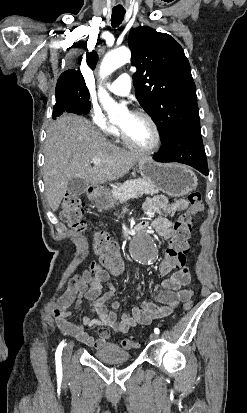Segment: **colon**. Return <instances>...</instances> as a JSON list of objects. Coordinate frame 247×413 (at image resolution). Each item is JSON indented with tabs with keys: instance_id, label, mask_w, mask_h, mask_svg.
<instances>
[{
	"instance_id": "5ec220e1",
	"label": "colon",
	"mask_w": 247,
	"mask_h": 413,
	"mask_svg": "<svg viewBox=\"0 0 247 413\" xmlns=\"http://www.w3.org/2000/svg\"><path fill=\"white\" fill-rule=\"evenodd\" d=\"M191 205V214H198L203 209L201 194L197 191L190 192L187 197ZM83 203L76 195H66L60 207V218L70 229L82 232L86 229L87 222L83 218ZM194 225V217L186 216L184 221L175 220L173 227L175 236L172 237V244L166 247L157 274L165 277L172 265H183L185 254L189 251L190 241L189 229ZM95 242L98 245L99 258L105 262L112 275H119L123 271V264L116 257L117 247L109 240L105 233H97ZM193 306L192 300H187L183 305V311L188 312ZM121 346L129 349L133 346L130 340H122Z\"/></svg>"
}]
</instances>
